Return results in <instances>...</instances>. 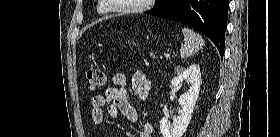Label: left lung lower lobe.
<instances>
[{"label":"left lung lower lobe","instance_id":"1","mask_svg":"<svg viewBox=\"0 0 280 137\" xmlns=\"http://www.w3.org/2000/svg\"><path fill=\"white\" fill-rule=\"evenodd\" d=\"M229 0H162L149 15L182 22L207 36L223 57Z\"/></svg>","mask_w":280,"mask_h":137}]
</instances>
